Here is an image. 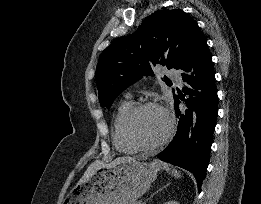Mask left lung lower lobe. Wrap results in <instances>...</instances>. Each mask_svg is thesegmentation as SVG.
I'll return each mask as SVG.
<instances>
[{"instance_id": "0a47b994", "label": "left lung lower lobe", "mask_w": 261, "mask_h": 204, "mask_svg": "<svg viewBox=\"0 0 261 204\" xmlns=\"http://www.w3.org/2000/svg\"><path fill=\"white\" fill-rule=\"evenodd\" d=\"M180 70L187 85L182 89L184 94L174 97L177 132L158 158L192 172L200 192L210 159L218 102L212 55L200 30ZM185 95L189 98L184 99ZM180 100L187 108L185 112L179 109Z\"/></svg>"}]
</instances>
